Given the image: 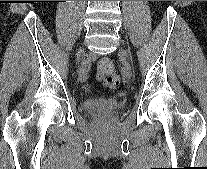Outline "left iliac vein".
I'll list each match as a JSON object with an SVG mask.
<instances>
[{
	"label": "left iliac vein",
	"mask_w": 207,
	"mask_h": 169,
	"mask_svg": "<svg viewBox=\"0 0 207 169\" xmlns=\"http://www.w3.org/2000/svg\"><path fill=\"white\" fill-rule=\"evenodd\" d=\"M121 53H122V55H123L124 57L129 58V54H128V52H127L125 49H122V50H121ZM126 76H127V77H130V76H131L129 70H126Z\"/></svg>",
	"instance_id": "4c4485c4"
}]
</instances>
